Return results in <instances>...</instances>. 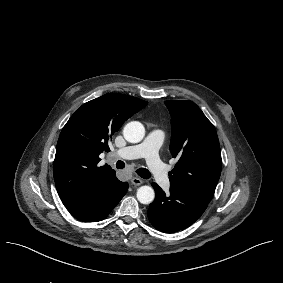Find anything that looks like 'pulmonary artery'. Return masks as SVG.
<instances>
[{
	"label": "pulmonary artery",
	"instance_id": "e3ab8cb5",
	"mask_svg": "<svg viewBox=\"0 0 283 283\" xmlns=\"http://www.w3.org/2000/svg\"><path fill=\"white\" fill-rule=\"evenodd\" d=\"M159 137L163 138L162 132L152 130L141 143L121 148L118 154L129 159H138L143 156L154 182L158 184L160 189L167 190L171 186V181L157 155L161 144Z\"/></svg>",
	"mask_w": 283,
	"mask_h": 283
}]
</instances>
